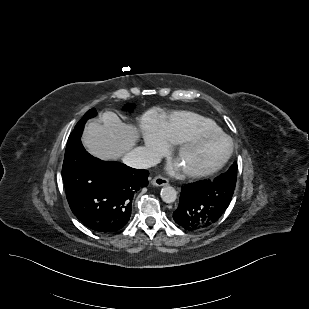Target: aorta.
Returning <instances> with one entry per match:
<instances>
[{"label":"aorta","instance_id":"762f6f07","mask_svg":"<svg viewBox=\"0 0 309 309\" xmlns=\"http://www.w3.org/2000/svg\"><path fill=\"white\" fill-rule=\"evenodd\" d=\"M160 195L165 203H173L177 198V192L172 186L163 187Z\"/></svg>","mask_w":309,"mask_h":309}]
</instances>
